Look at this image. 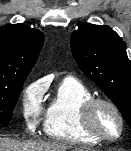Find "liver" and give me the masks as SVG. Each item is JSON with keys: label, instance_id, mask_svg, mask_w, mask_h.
I'll return each mask as SVG.
<instances>
[{"label": "liver", "instance_id": "liver-1", "mask_svg": "<svg viewBox=\"0 0 131 151\" xmlns=\"http://www.w3.org/2000/svg\"><path fill=\"white\" fill-rule=\"evenodd\" d=\"M71 146L64 143L28 141L20 142L8 138H0V151H68ZM80 151V149H76Z\"/></svg>", "mask_w": 131, "mask_h": 151}]
</instances>
